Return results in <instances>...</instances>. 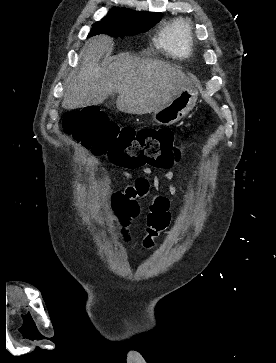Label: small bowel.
<instances>
[{
  "instance_id": "c3829d8e",
  "label": "small bowel",
  "mask_w": 276,
  "mask_h": 363,
  "mask_svg": "<svg viewBox=\"0 0 276 363\" xmlns=\"http://www.w3.org/2000/svg\"><path fill=\"white\" fill-rule=\"evenodd\" d=\"M151 172L152 171L150 168H144V177L137 178L131 185L127 186L121 191H118L114 195L113 207L125 217L127 223L139 216L141 212L139 201L148 196L151 197L148 217L151 214H155L158 217V220H166L169 199L167 196L157 192L156 187L159 184V179L154 177L152 180H150L148 176L151 175ZM124 176L130 178L131 174L129 172H124ZM173 177L174 174L170 170L167 171L164 175V178L167 182L166 190L171 196L176 197L178 194L177 189L170 183ZM181 224L182 222H180V225ZM164 229L156 230L151 228L148 220L145 236H149L154 240Z\"/></svg>"
}]
</instances>
